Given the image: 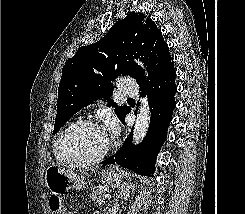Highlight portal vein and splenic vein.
Listing matches in <instances>:
<instances>
[{
    "mask_svg": "<svg viewBox=\"0 0 245 214\" xmlns=\"http://www.w3.org/2000/svg\"><path fill=\"white\" fill-rule=\"evenodd\" d=\"M105 198L110 199L111 196H110L109 194H106V195H105Z\"/></svg>",
    "mask_w": 245,
    "mask_h": 214,
    "instance_id": "1",
    "label": "portal vein and splenic vein"
}]
</instances>
